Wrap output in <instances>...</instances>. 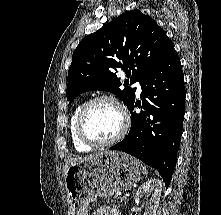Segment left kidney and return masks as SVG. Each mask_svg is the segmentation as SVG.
I'll use <instances>...</instances> for the list:
<instances>
[{
  "label": "left kidney",
  "instance_id": "left-kidney-1",
  "mask_svg": "<svg viewBox=\"0 0 221 215\" xmlns=\"http://www.w3.org/2000/svg\"><path fill=\"white\" fill-rule=\"evenodd\" d=\"M162 191V182L159 179H151L144 182L136 191L135 203L138 204L141 199L151 197L147 203L144 215H156L159 206L160 195Z\"/></svg>",
  "mask_w": 221,
  "mask_h": 215
}]
</instances>
